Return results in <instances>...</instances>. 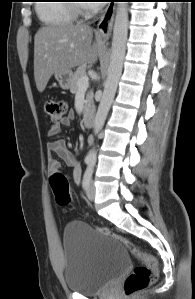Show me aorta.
I'll return each mask as SVG.
<instances>
[{
	"label": "aorta",
	"instance_id": "762f6f07",
	"mask_svg": "<svg viewBox=\"0 0 195 299\" xmlns=\"http://www.w3.org/2000/svg\"><path fill=\"white\" fill-rule=\"evenodd\" d=\"M128 35V4L118 2L113 28L112 53L108 67L107 79L98 110L94 119V132L98 133L104 126L106 117L114 100L119 79L121 77L123 61L126 51ZM87 160L96 161V151L92 150L87 155Z\"/></svg>",
	"mask_w": 195,
	"mask_h": 299
}]
</instances>
